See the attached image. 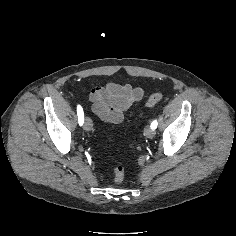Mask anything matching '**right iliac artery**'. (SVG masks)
<instances>
[{"label":"right iliac artery","mask_w":236,"mask_h":236,"mask_svg":"<svg viewBox=\"0 0 236 236\" xmlns=\"http://www.w3.org/2000/svg\"><path fill=\"white\" fill-rule=\"evenodd\" d=\"M77 115H78L79 124L82 125L84 122V113L80 105L77 106Z\"/></svg>","instance_id":"82829eb1"}]
</instances>
